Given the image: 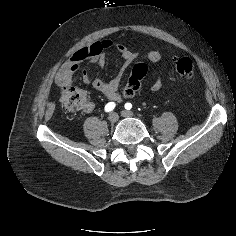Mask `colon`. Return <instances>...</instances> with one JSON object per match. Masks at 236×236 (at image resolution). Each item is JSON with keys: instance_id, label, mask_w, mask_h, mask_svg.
<instances>
[{"instance_id": "5ec220e1", "label": "colon", "mask_w": 236, "mask_h": 236, "mask_svg": "<svg viewBox=\"0 0 236 236\" xmlns=\"http://www.w3.org/2000/svg\"><path fill=\"white\" fill-rule=\"evenodd\" d=\"M175 70L182 80H190L194 75V63L189 57H182L175 63ZM148 67L144 63L134 65L125 84V91H138L141 82L146 76ZM135 92V93H136ZM87 92L77 86H65L61 92L60 103L63 111L74 114L87 104Z\"/></svg>"}]
</instances>
